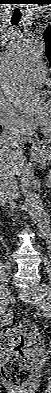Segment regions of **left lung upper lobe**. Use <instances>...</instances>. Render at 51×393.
<instances>
[{"label": "left lung upper lobe", "mask_w": 51, "mask_h": 393, "mask_svg": "<svg viewBox=\"0 0 51 393\" xmlns=\"http://www.w3.org/2000/svg\"><path fill=\"white\" fill-rule=\"evenodd\" d=\"M44 40L46 42V55L51 66V25L46 28L43 34Z\"/></svg>", "instance_id": "obj_1"}]
</instances>
